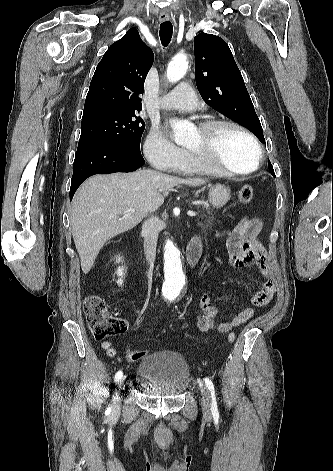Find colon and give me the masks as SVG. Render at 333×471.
Returning a JSON list of instances; mask_svg holds the SVG:
<instances>
[{
	"label": "colon",
	"instance_id": "colon-1",
	"mask_svg": "<svg viewBox=\"0 0 333 471\" xmlns=\"http://www.w3.org/2000/svg\"><path fill=\"white\" fill-rule=\"evenodd\" d=\"M252 198L253 188L250 185H244L238 193L239 201L246 204ZM83 310L90 332L96 340H103L126 330L125 320L109 314L104 299L98 295L88 296L84 301ZM235 338V333L231 332L227 338L228 343H233ZM147 354L148 352L144 350H132L128 351L127 358L129 361L135 362Z\"/></svg>",
	"mask_w": 333,
	"mask_h": 471
}]
</instances>
